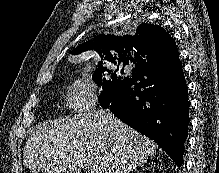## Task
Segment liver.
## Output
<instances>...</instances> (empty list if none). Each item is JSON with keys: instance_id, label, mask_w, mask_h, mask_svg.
Segmentation results:
<instances>
[{"instance_id": "liver-1", "label": "liver", "mask_w": 219, "mask_h": 173, "mask_svg": "<svg viewBox=\"0 0 219 173\" xmlns=\"http://www.w3.org/2000/svg\"><path fill=\"white\" fill-rule=\"evenodd\" d=\"M149 138L98 109L38 125L23 152L30 173H131L156 150Z\"/></svg>"}]
</instances>
